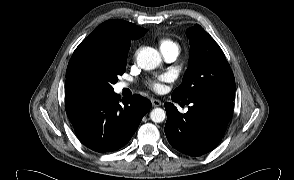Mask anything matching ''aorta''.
I'll return each mask as SVG.
<instances>
[{"label": "aorta", "mask_w": 294, "mask_h": 180, "mask_svg": "<svg viewBox=\"0 0 294 180\" xmlns=\"http://www.w3.org/2000/svg\"><path fill=\"white\" fill-rule=\"evenodd\" d=\"M161 56L157 50L151 47L142 48L137 57L139 67L144 70H152L161 64ZM166 113L162 108H155L150 112V118L155 123L165 120Z\"/></svg>", "instance_id": "obj_1"}]
</instances>
